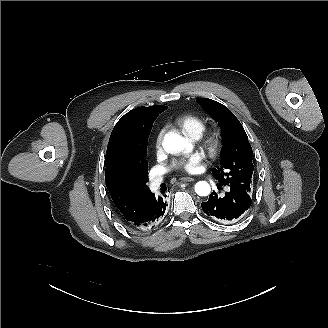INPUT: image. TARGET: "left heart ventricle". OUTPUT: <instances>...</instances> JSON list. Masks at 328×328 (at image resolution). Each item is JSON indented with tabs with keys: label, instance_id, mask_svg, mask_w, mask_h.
<instances>
[{
	"label": "left heart ventricle",
	"instance_id": "obj_1",
	"mask_svg": "<svg viewBox=\"0 0 328 328\" xmlns=\"http://www.w3.org/2000/svg\"><path fill=\"white\" fill-rule=\"evenodd\" d=\"M198 155L202 158V160L207 161V152L206 151L201 152Z\"/></svg>",
	"mask_w": 328,
	"mask_h": 328
}]
</instances>
